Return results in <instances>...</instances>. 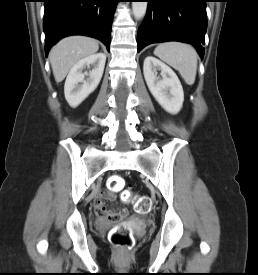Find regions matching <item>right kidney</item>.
Listing matches in <instances>:
<instances>
[{"label": "right kidney", "mask_w": 258, "mask_h": 275, "mask_svg": "<svg viewBox=\"0 0 258 275\" xmlns=\"http://www.w3.org/2000/svg\"><path fill=\"white\" fill-rule=\"evenodd\" d=\"M106 56L97 53L78 61L69 71L64 85V94L71 107H77L98 86L105 67ZM93 65L89 74L83 73L85 67ZM85 75L89 77L85 80Z\"/></svg>", "instance_id": "right-kidney-1"}]
</instances>
